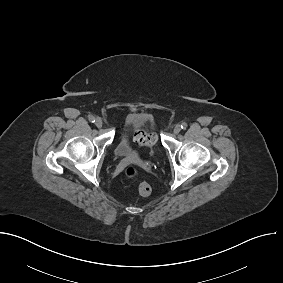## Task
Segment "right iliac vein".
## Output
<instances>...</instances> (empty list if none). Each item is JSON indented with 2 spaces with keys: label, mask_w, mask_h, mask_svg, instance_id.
<instances>
[{
  "label": "right iliac vein",
  "mask_w": 283,
  "mask_h": 283,
  "mask_svg": "<svg viewBox=\"0 0 283 283\" xmlns=\"http://www.w3.org/2000/svg\"><path fill=\"white\" fill-rule=\"evenodd\" d=\"M95 125H96L98 128L102 127V125H103L102 119H101V118H96V119H95Z\"/></svg>",
  "instance_id": "1"
}]
</instances>
